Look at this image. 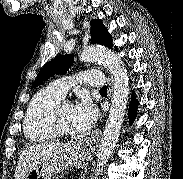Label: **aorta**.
Wrapping results in <instances>:
<instances>
[{
    "label": "aorta",
    "mask_w": 183,
    "mask_h": 179,
    "mask_svg": "<svg viewBox=\"0 0 183 179\" xmlns=\"http://www.w3.org/2000/svg\"><path fill=\"white\" fill-rule=\"evenodd\" d=\"M79 59L87 62H101L113 76V93L109 117L104 128L96 159L94 179H98L119 137L129 95V77L121 58L109 49L89 46L80 52Z\"/></svg>",
    "instance_id": "762f6f07"
}]
</instances>
